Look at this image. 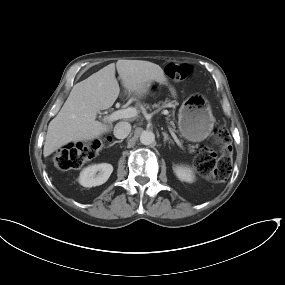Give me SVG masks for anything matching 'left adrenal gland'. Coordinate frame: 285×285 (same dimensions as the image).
Returning <instances> with one entry per match:
<instances>
[{
    "mask_svg": "<svg viewBox=\"0 0 285 285\" xmlns=\"http://www.w3.org/2000/svg\"><path fill=\"white\" fill-rule=\"evenodd\" d=\"M162 135L164 137V144L168 141L169 143L174 144L173 140L168 136L166 132H162Z\"/></svg>",
    "mask_w": 285,
    "mask_h": 285,
    "instance_id": "left-adrenal-gland-1",
    "label": "left adrenal gland"
}]
</instances>
